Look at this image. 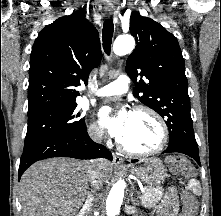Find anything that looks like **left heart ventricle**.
<instances>
[{
  "instance_id": "1",
  "label": "left heart ventricle",
  "mask_w": 221,
  "mask_h": 216,
  "mask_svg": "<svg viewBox=\"0 0 221 216\" xmlns=\"http://www.w3.org/2000/svg\"><path fill=\"white\" fill-rule=\"evenodd\" d=\"M160 137L159 125L151 116L145 113H132L121 141L131 149L143 151L154 148Z\"/></svg>"
}]
</instances>
